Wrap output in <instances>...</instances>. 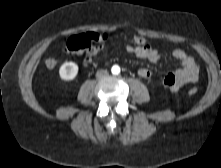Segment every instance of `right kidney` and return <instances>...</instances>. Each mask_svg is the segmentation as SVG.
I'll list each match as a JSON object with an SVG mask.
<instances>
[{
  "label": "right kidney",
  "mask_w": 221,
  "mask_h": 168,
  "mask_svg": "<svg viewBox=\"0 0 221 168\" xmlns=\"http://www.w3.org/2000/svg\"><path fill=\"white\" fill-rule=\"evenodd\" d=\"M78 65L74 62H66L59 68L60 78L64 81L73 80L78 74Z\"/></svg>",
  "instance_id": "ca27d5eb"
}]
</instances>
